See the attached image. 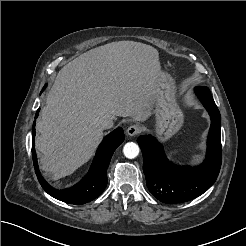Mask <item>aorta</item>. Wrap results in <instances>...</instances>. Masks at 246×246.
Listing matches in <instances>:
<instances>
[{
	"label": "aorta",
	"instance_id": "aorta-1",
	"mask_svg": "<svg viewBox=\"0 0 246 246\" xmlns=\"http://www.w3.org/2000/svg\"><path fill=\"white\" fill-rule=\"evenodd\" d=\"M123 153L125 157L133 159L139 154V146L134 142H128L123 147Z\"/></svg>",
	"mask_w": 246,
	"mask_h": 246
}]
</instances>
